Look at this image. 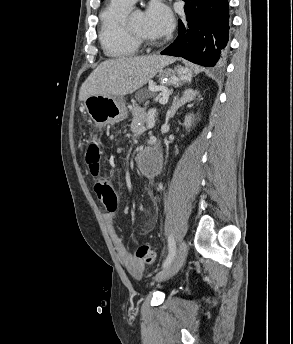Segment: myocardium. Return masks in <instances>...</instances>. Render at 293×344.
<instances>
[{
	"label": "myocardium",
	"instance_id": "obj_1",
	"mask_svg": "<svg viewBox=\"0 0 293 344\" xmlns=\"http://www.w3.org/2000/svg\"><path fill=\"white\" fill-rule=\"evenodd\" d=\"M124 29L126 34L133 40L135 41L138 45L142 46H151L154 45L155 42L134 32L128 25V21L124 22Z\"/></svg>",
	"mask_w": 293,
	"mask_h": 344
}]
</instances>
